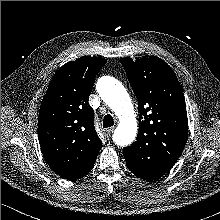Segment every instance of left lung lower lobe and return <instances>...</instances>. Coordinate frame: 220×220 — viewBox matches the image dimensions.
Returning <instances> with one entry per match:
<instances>
[{
    "instance_id": "1",
    "label": "left lung lower lobe",
    "mask_w": 220,
    "mask_h": 220,
    "mask_svg": "<svg viewBox=\"0 0 220 220\" xmlns=\"http://www.w3.org/2000/svg\"><path fill=\"white\" fill-rule=\"evenodd\" d=\"M124 157L127 164V167L129 170L138 176L139 178L145 179V180H155L160 178L162 175L167 173L166 170L157 169L155 167H140L135 165L133 162H131V159L128 158L127 153H125L124 150Z\"/></svg>"
}]
</instances>
